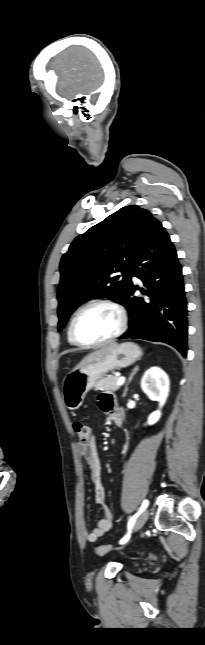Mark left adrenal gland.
<instances>
[{
  "label": "left adrenal gland",
  "mask_w": 205,
  "mask_h": 645,
  "mask_svg": "<svg viewBox=\"0 0 205 645\" xmlns=\"http://www.w3.org/2000/svg\"><path fill=\"white\" fill-rule=\"evenodd\" d=\"M138 369H139V367H135V368H134V370H133V372L130 374V377H129V379H128V382H127V383H126V385H125V390H124V393H123V397H125V396H126L127 391H128V385H129V383L132 381V379H133V377H134V375L136 374V371H137Z\"/></svg>",
  "instance_id": "left-adrenal-gland-1"
}]
</instances>
